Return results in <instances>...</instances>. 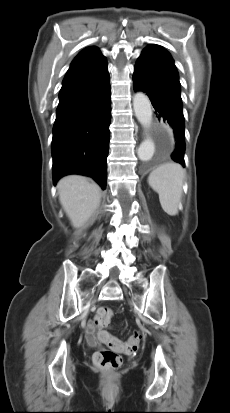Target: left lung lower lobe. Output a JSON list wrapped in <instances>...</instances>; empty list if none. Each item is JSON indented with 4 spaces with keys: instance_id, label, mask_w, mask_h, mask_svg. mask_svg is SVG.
Instances as JSON below:
<instances>
[{
    "instance_id": "obj_1",
    "label": "left lung lower lobe",
    "mask_w": 230,
    "mask_h": 413,
    "mask_svg": "<svg viewBox=\"0 0 230 413\" xmlns=\"http://www.w3.org/2000/svg\"><path fill=\"white\" fill-rule=\"evenodd\" d=\"M133 87L146 92L158 119L162 118L173 128L175 149L171 157L185 166L181 88L173 59L158 46L146 47L134 67Z\"/></svg>"
}]
</instances>
